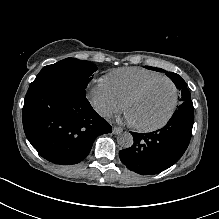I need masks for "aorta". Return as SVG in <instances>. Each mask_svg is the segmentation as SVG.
Returning <instances> with one entry per match:
<instances>
[{
  "mask_svg": "<svg viewBox=\"0 0 219 219\" xmlns=\"http://www.w3.org/2000/svg\"><path fill=\"white\" fill-rule=\"evenodd\" d=\"M117 142L122 148H130L133 145L134 140L130 133L124 132L118 135Z\"/></svg>",
  "mask_w": 219,
  "mask_h": 219,
  "instance_id": "762f6f07",
  "label": "aorta"
}]
</instances>
